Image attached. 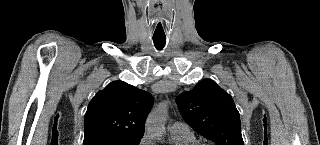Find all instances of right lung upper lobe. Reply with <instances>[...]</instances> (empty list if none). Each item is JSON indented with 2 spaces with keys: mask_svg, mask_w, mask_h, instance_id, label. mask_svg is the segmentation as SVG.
Instances as JSON below:
<instances>
[{
  "mask_svg": "<svg viewBox=\"0 0 320 145\" xmlns=\"http://www.w3.org/2000/svg\"><path fill=\"white\" fill-rule=\"evenodd\" d=\"M153 102L149 92L123 81L111 82L88 105L84 143L106 137H142Z\"/></svg>",
  "mask_w": 320,
  "mask_h": 145,
  "instance_id": "obj_1",
  "label": "right lung upper lobe"
}]
</instances>
